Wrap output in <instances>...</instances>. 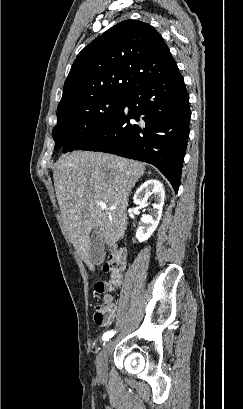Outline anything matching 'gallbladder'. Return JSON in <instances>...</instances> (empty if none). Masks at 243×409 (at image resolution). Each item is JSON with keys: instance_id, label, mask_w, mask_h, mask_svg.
<instances>
[{"instance_id": "bac80fb5", "label": "gallbladder", "mask_w": 243, "mask_h": 409, "mask_svg": "<svg viewBox=\"0 0 243 409\" xmlns=\"http://www.w3.org/2000/svg\"><path fill=\"white\" fill-rule=\"evenodd\" d=\"M90 253H91V260L94 264L99 265L103 262L105 253H104V243L103 239L99 236V234L94 231L90 237Z\"/></svg>"}]
</instances>
